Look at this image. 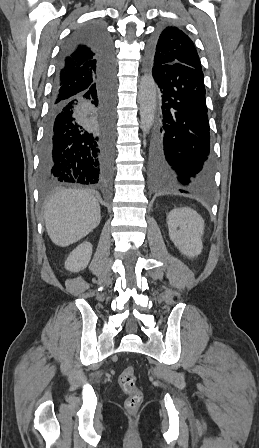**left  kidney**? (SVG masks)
I'll return each instance as SVG.
<instances>
[{"mask_svg":"<svg viewBox=\"0 0 259 448\" xmlns=\"http://www.w3.org/2000/svg\"><path fill=\"white\" fill-rule=\"evenodd\" d=\"M170 240L184 256L195 258L202 252L204 220L192 208H174L167 216Z\"/></svg>","mask_w":259,"mask_h":448,"instance_id":"1","label":"left kidney"}]
</instances>
